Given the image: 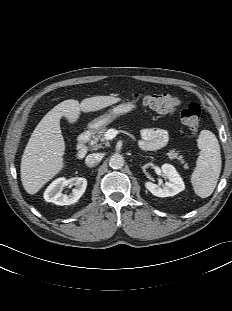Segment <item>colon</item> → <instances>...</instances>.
I'll return each instance as SVG.
<instances>
[{
	"label": "colon",
	"mask_w": 232,
	"mask_h": 311,
	"mask_svg": "<svg viewBox=\"0 0 232 311\" xmlns=\"http://www.w3.org/2000/svg\"><path fill=\"white\" fill-rule=\"evenodd\" d=\"M134 99L159 113L174 112L180 105L177 98L166 93L136 94ZM200 117L201 110L197 103H190L181 111V119L193 135L198 132Z\"/></svg>",
	"instance_id": "5ec220e1"
}]
</instances>
